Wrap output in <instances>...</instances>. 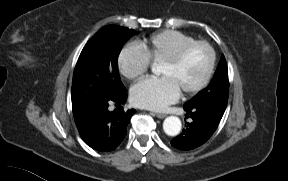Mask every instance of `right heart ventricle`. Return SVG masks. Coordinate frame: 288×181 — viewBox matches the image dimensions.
<instances>
[{
	"instance_id": "e07e8e85",
	"label": "right heart ventricle",
	"mask_w": 288,
	"mask_h": 181,
	"mask_svg": "<svg viewBox=\"0 0 288 181\" xmlns=\"http://www.w3.org/2000/svg\"><path fill=\"white\" fill-rule=\"evenodd\" d=\"M194 41H196L194 37L185 33L166 30L152 35L149 39L140 42L138 46L144 51L149 62L160 63L181 47Z\"/></svg>"
}]
</instances>
